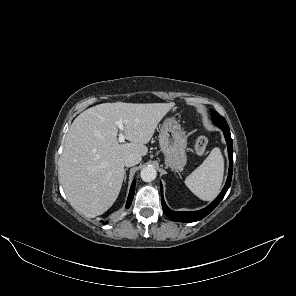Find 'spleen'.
Here are the masks:
<instances>
[{"label": "spleen", "mask_w": 296, "mask_h": 296, "mask_svg": "<svg viewBox=\"0 0 296 296\" xmlns=\"http://www.w3.org/2000/svg\"><path fill=\"white\" fill-rule=\"evenodd\" d=\"M224 173V159L219 148H214L189 176L186 186L204 201L213 200L219 193Z\"/></svg>", "instance_id": "spleen-1"}]
</instances>
